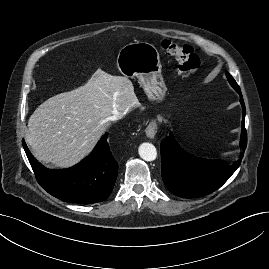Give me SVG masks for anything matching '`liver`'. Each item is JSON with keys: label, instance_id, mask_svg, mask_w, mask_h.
<instances>
[{"label": "liver", "instance_id": "liver-1", "mask_svg": "<svg viewBox=\"0 0 269 269\" xmlns=\"http://www.w3.org/2000/svg\"><path fill=\"white\" fill-rule=\"evenodd\" d=\"M139 105L127 77L97 70L83 86L42 103L29 118L25 139L38 160L70 167L92 151L112 115Z\"/></svg>", "mask_w": 269, "mask_h": 269}]
</instances>
